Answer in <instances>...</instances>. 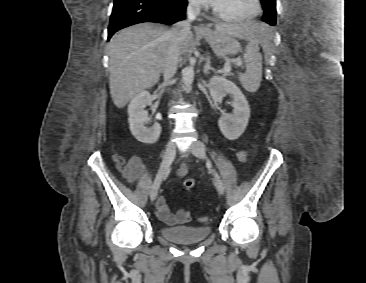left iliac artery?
I'll list each match as a JSON object with an SVG mask.
<instances>
[{
	"instance_id": "left-iliac-artery-1",
	"label": "left iliac artery",
	"mask_w": 366,
	"mask_h": 283,
	"mask_svg": "<svg viewBox=\"0 0 366 283\" xmlns=\"http://www.w3.org/2000/svg\"><path fill=\"white\" fill-rule=\"evenodd\" d=\"M204 147H205V145L204 144H202ZM205 149H207L206 147H205ZM210 153V155H211V157H212V159L215 161V159H214V155L211 153V152H209Z\"/></svg>"
}]
</instances>
